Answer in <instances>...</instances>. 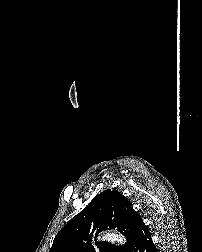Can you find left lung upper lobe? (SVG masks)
Here are the masks:
<instances>
[{"label":"left lung upper lobe","instance_id":"obj_1","mask_svg":"<svg viewBox=\"0 0 202 252\" xmlns=\"http://www.w3.org/2000/svg\"><path fill=\"white\" fill-rule=\"evenodd\" d=\"M141 220L123 195L116 190H105L59 231L49 252H131L136 226ZM107 228H117L118 232L126 236L127 244H92L93 236Z\"/></svg>","mask_w":202,"mask_h":252}]
</instances>
